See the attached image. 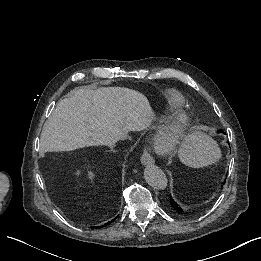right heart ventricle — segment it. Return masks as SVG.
Returning a JSON list of instances; mask_svg holds the SVG:
<instances>
[{
	"label": "right heart ventricle",
	"mask_w": 261,
	"mask_h": 261,
	"mask_svg": "<svg viewBox=\"0 0 261 261\" xmlns=\"http://www.w3.org/2000/svg\"><path fill=\"white\" fill-rule=\"evenodd\" d=\"M186 99L185 96L174 88H167V94L163 103L156 110L152 112V116L168 111L185 110ZM151 116V117H152Z\"/></svg>",
	"instance_id": "obj_1"
}]
</instances>
